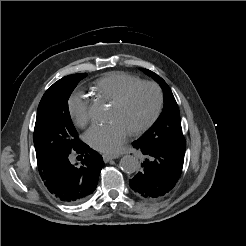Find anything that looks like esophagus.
<instances>
[{"label":"esophagus","instance_id":"obj_1","mask_svg":"<svg viewBox=\"0 0 246 246\" xmlns=\"http://www.w3.org/2000/svg\"><path fill=\"white\" fill-rule=\"evenodd\" d=\"M102 157H103L104 162H109V161H111L113 159L118 158V155L103 154Z\"/></svg>","mask_w":246,"mask_h":246}]
</instances>
